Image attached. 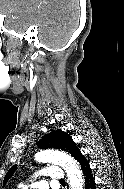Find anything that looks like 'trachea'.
<instances>
[{
    "mask_svg": "<svg viewBox=\"0 0 124 189\" xmlns=\"http://www.w3.org/2000/svg\"><path fill=\"white\" fill-rule=\"evenodd\" d=\"M60 182H65V180H64V179H61Z\"/></svg>",
    "mask_w": 124,
    "mask_h": 189,
    "instance_id": "trachea-1",
    "label": "trachea"
}]
</instances>
